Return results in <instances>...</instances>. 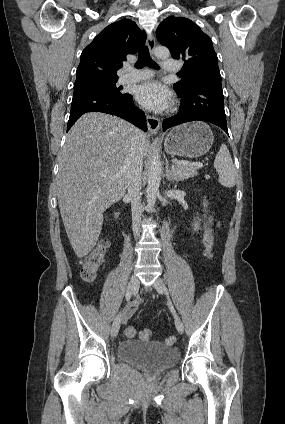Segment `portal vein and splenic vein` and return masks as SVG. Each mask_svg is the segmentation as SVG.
<instances>
[{
	"mask_svg": "<svg viewBox=\"0 0 285 424\" xmlns=\"http://www.w3.org/2000/svg\"><path fill=\"white\" fill-rule=\"evenodd\" d=\"M180 163H182V164H190V165H192L195 168H200V167L203 166V164L202 163H199V162H195V163H189V162H186V161H176L175 162V164H180Z\"/></svg>",
	"mask_w": 285,
	"mask_h": 424,
	"instance_id": "18ae733b",
	"label": "portal vein and splenic vein"
}]
</instances>
